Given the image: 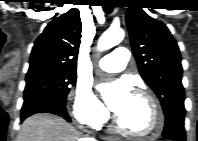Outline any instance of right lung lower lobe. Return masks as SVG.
<instances>
[{"instance_id": "1", "label": "right lung lower lobe", "mask_w": 198, "mask_h": 141, "mask_svg": "<svg viewBox=\"0 0 198 141\" xmlns=\"http://www.w3.org/2000/svg\"><path fill=\"white\" fill-rule=\"evenodd\" d=\"M51 113L63 117L70 121V117L66 111L65 106L57 104L49 100L30 99L25 100L21 110V121L35 113Z\"/></svg>"}]
</instances>
